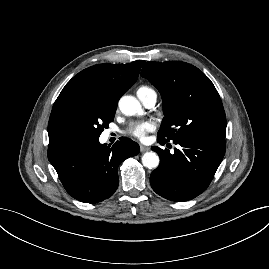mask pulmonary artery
<instances>
[{
  "label": "pulmonary artery",
  "mask_w": 269,
  "mask_h": 269,
  "mask_svg": "<svg viewBox=\"0 0 269 269\" xmlns=\"http://www.w3.org/2000/svg\"><path fill=\"white\" fill-rule=\"evenodd\" d=\"M141 101L146 107L151 108L155 105L157 101V95L156 93H151L147 95L146 97L142 98Z\"/></svg>",
  "instance_id": "pulmonary-artery-1"
}]
</instances>
